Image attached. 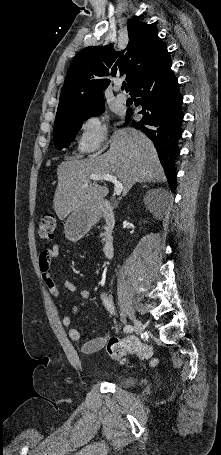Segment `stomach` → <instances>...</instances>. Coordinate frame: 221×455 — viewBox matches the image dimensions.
<instances>
[{
  "instance_id": "1",
  "label": "stomach",
  "mask_w": 221,
  "mask_h": 455,
  "mask_svg": "<svg viewBox=\"0 0 221 455\" xmlns=\"http://www.w3.org/2000/svg\"><path fill=\"white\" fill-rule=\"evenodd\" d=\"M101 216L100 201L74 209L64 222V233L71 242H77L91 229Z\"/></svg>"
}]
</instances>
